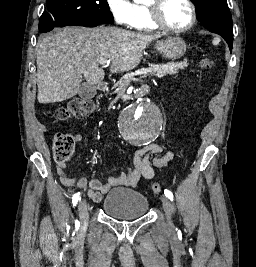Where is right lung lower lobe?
I'll list each match as a JSON object with an SVG mask.
<instances>
[{
  "mask_svg": "<svg viewBox=\"0 0 256 267\" xmlns=\"http://www.w3.org/2000/svg\"><path fill=\"white\" fill-rule=\"evenodd\" d=\"M70 25H79V26H85V27H95L99 24H96V23H74V24H69L67 26H70Z\"/></svg>",
  "mask_w": 256,
  "mask_h": 267,
  "instance_id": "1",
  "label": "right lung lower lobe"
}]
</instances>
